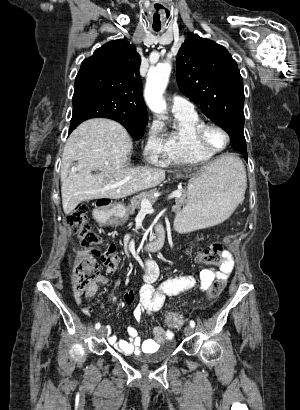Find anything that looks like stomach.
<instances>
[{
  "mask_svg": "<svg viewBox=\"0 0 300 410\" xmlns=\"http://www.w3.org/2000/svg\"><path fill=\"white\" fill-rule=\"evenodd\" d=\"M231 158L223 167L204 168L189 180L187 203L176 218L179 231L213 227L232 214L240 202L242 188L237 170L229 167ZM104 213L109 219L127 218L122 204H116Z\"/></svg>",
  "mask_w": 300,
  "mask_h": 410,
  "instance_id": "stomach-1",
  "label": "stomach"
}]
</instances>
